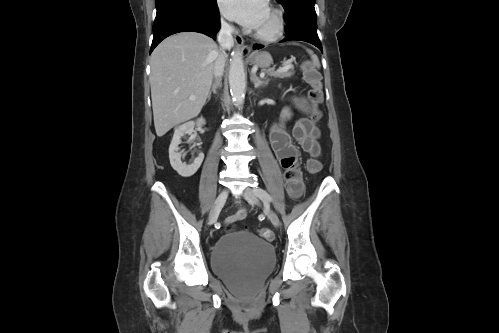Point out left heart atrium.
<instances>
[{
  "mask_svg": "<svg viewBox=\"0 0 499 333\" xmlns=\"http://www.w3.org/2000/svg\"><path fill=\"white\" fill-rule=\"evenodd\" d=\"M218 4L225 17L251 29H257L268 12V0H218Z\"/></svg>",
  "mask_w": 499,
  "mask_h": 333,
  "instance_id": "left-heart-atrium-1",
  "label": "left heart atrium"
}]
</instances>
